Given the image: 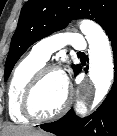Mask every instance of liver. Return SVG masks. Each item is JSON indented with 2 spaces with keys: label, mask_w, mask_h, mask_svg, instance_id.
I'll use <instances>...</instances> for the list:
<instances>
[{
  "label": "liver",
  "mask_w": 117,
  "mask_h": 136,
  "mask_svg": "<svg viewBox=\"0 0 117 136\" xmlns=\"http://www.w3.org/2000/svg\"><path fill=\"white\" fill-rule=\"evenodd\" d=\"M5 136H45V133L29 126H9L5 129Z\"/></svg>",
  "instance_id": "liver-1"
}]
</instances>
